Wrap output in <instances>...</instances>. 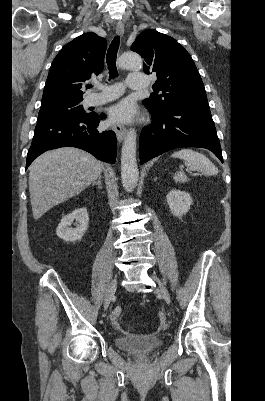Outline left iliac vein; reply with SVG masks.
<instances>
[{"label":"left iliac vein","instance_id":"left-iliac-vein-1","mask_svg":"<svg viewBox=\"0 0 265 401\" xmlns=\"http://www.w3.org/2000/svg\"><path fill=\"white\" fill-rule=\"evenodd\" d=\"M153 278L155 279V277H153ZM159 292L163 296L165 302L168 305H170L171 304V297H170V294H169L168 290L166 289V287L163 284L159 285Z\"/></svg>","mask_w":265,"mask_h":401}]
</instances>
